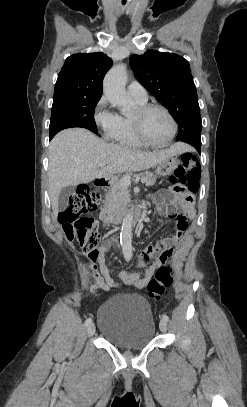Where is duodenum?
Here are the masks:
<instances>
[{"mask_svg":"<svg viewBox=\"0 0 247 407\" xmlns=\"http://www.w3.org/2000/svg\"><path fill=\"white\" fill-rule=\"evenodd\" d=\"M93 185L96 188H105L107 186V181L105 178L98 177L93 181ZM131 215L136 220H140L143 217L141 209L136 206H132L129 209L120 208L117 206H103L100 209V218L107 225H113L118 223L124 216Z\"/></svg>","mask_w":247,"mask_h":407,"instance_id":"obj_1","label":"duodenum"}]
</instances>
